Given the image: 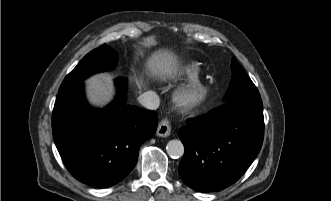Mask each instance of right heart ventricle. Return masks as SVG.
Segmentation results:
<instances>
[{
    "mask_svg": "<svg viewBox=\"0 0 331 201\" xmlns=\"http://www.w3.org/2000/svg\"><path fill=\"white\" fill-rule=\"evenodd\" d=\"M183 73H185V74L188 75V76H195V75L197 74V72H196V68L193 67L192 65L187 66V67L184 69Z\"/></svg>",
    "mask_w": 331,
    "mask_h": 201,
    "instance_id": "e07e8e85",
    "label": "right heart ventricle"
}]
</instances>
